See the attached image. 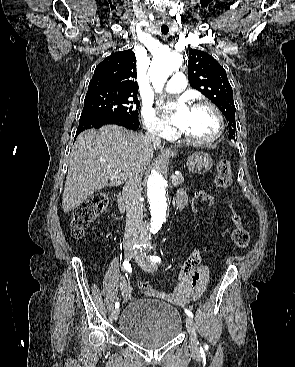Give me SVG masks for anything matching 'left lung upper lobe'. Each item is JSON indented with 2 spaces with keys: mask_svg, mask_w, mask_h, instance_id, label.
<instances>
[{
  "mask_svg": "<svg viewBox=\"0 0 295 367\" xmlns=\"http://www.w3.org/2000/svg\"><path fill=\"white\" fill-rule=\"evenodd\" d=\"M188 78L190 85L209 98L229 122V138L236 135L235 105L232 87L225 69L208 53L189 51Z\"/></svg>",
  "mask_w": 295,
  "mask_h": 367,
  "instance_id": "1",
  "label": "left lung upper lobe"
}]
</instances>
